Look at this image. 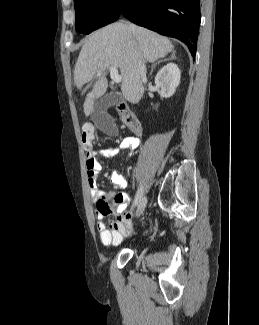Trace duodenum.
Instances as JSON below:
<instances>
[{
    "label": "duodenum",
    "mask_w": 259,
    "mask_h": 325,
    "mask_svg": "<svg viewBox=\"0 0 259 325\" xmlns=\"http://www.w3.org/2000/svg\"><path fill=\"white\" fill-rule=\"evenodd\" d=\"M116 109L118 110L129 130L136 136H139L142 132V126L136 114L125 102H118L116 104Z\"/></svg>",
    "instance_id": "duodenum-1"
}]
</instances>
